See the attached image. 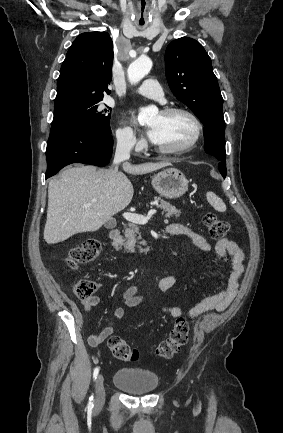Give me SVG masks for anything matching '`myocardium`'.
Masks as SVG:
<instances>
[{
    "instance_id": "1",
    "label": "myocardium",
    "mask_w": 283,
    "mask_h": 433,
    "mask_svg": "<svg viewBox=\"0 0 283 433\" xmlns=\"http://www.w3.org/2000/svg\"><path fill=\"white\" fill-rule=\"evenodd\" d=\"M160 113L162 115L165 116H171V115H175V114H185L187 116H189L193 122L195 123L196 126V132L194 137L192 138V140L187 143L185 146H183L182 148L179 149H158V152L165 157H177V156H182L185 155L189 152H191L196 146L197 144L200 142V140L203 137L204 134V124L202 122V120L200 119V117L193 112L192 110L186 108V107H180V106H169V107H165L163 108Z\"/></svg>"
}]
</instances>
